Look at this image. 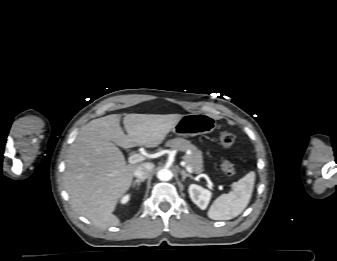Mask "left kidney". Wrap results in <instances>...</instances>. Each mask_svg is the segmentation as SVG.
<instances>
[{"label": "left kidney", "instance_id": "obj_1", "mask_svg": "<svg viewBox=\"0 0 337 261\" xmlns=\"http://www.w3.org/2000/svg\"><path fill=\"white\" fill-rule=\"evenodd\" d=\"M191 200L201 209H206L211 199V192L199 185L191 184L188 189Z\"/></svg>", "mask_w": 337, "mask_h": 261}]
</instances>
